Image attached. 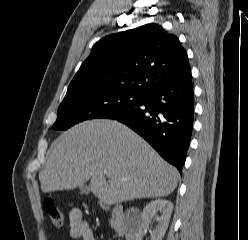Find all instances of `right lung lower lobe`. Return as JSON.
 <instances>
[{
    "mask_svg": "<svg viewBox=\"0 0 248 240\" xmlns=\"http://www.w3.org/2000/svg\"><path fill=\"white\" fill-rule=\"evenodd\" d=\"M107 118L129 126L181 172L194 119L191 71L151 88L136 105Z\"/></svg>",
    "mask_w": 248,
    "mask_h": 240,
    "instance_id": "98d812e1",
    "label": "right lung lower lobe"
}]
</instances>
